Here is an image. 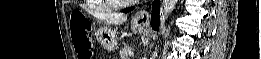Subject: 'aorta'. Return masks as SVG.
I'll list each match as a JSON object with an SVG mask.
<instances>
[{"instance_id": "aorta-1", "label": "aorta", "mask_w": 261, "mask_h": 59, "mask_svg": "<svg viewBox=\"0 0 261 59\" xmlns=\"http://www.w3.org/2000/svg\"><path fill=\"white\" fill-rule=\"evenodd\" d=\"M178 0H163L161 9H160V21H161V27L164 26L166 20L170 16V14L173 12V10L176 7ZM156 54H153V57H155Z\"/></svg>"}]
</instances>
